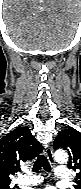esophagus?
I'll list each match as a JSON object with an SVG mask.
<instances>
[{
	"label": "esophagus",
	"mask_w": 81,
	"mask_h": 189,
	"mask_svg": "<svg viewBox=\"0 0 81 189\" xmlns=\"http://www.w3.org/2000/svg\"><path fill=\"white\" fill-rule=\"evenodd\" d=\"M45 155L51 164L55 163L54 156H53V149L51 146H47L45 148Z\"/></svg>",
	"instance_id": "1"
}]
</instances>
